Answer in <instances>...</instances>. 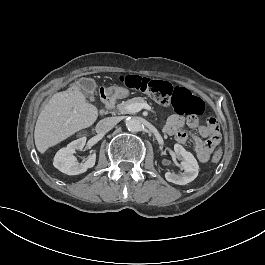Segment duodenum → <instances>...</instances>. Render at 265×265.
<instances>
[{
  "instance_id": "obj_1",
  "label": "duodenum",
  "mask_w": 265,
  "mask_h": 265,
  "mask_svg": "<svg viewBox=\"0 0 265 265\" xmlns=\"http://www.w3.org/2000/svg\"><path fill=\"white\" fill-rule=\"evenodd\" d=\"M98 93L103 98V103L106 106L111 107L112 106L113 97L111 95H109V92L104 87H101L98 90Z\"/></svg>"
}]
</instances>
